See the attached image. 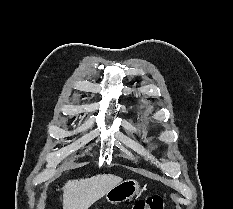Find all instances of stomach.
I'll use <instances>...</instances> for the list:
<instances>
[{
  "mask_svg": "<svg viewBox=\"0 0 233 209\" xmlns=\"http://www.w3.org/2000/svg\"><path fill=\"white\" fill-rule=\"evenodd\" d=\"M140 186L134 179L121 181L105 194V199L111 204H119L139 195Z\"/></svg>",
  "mask_w": 233,
  "mask_h": 209,
  "instance_id": "1",
  "label": "stomach"
}]
</instances>
